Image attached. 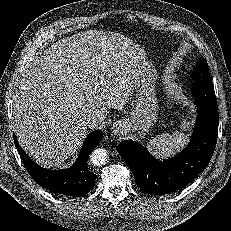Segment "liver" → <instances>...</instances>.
Segmentation results:
<instances>
[{"mask_svg": "<svg viewBox=\"0 0 231 231\" xmlns=\"http://www.w3.org/2000/svg\"><path fill=\"white\" fill-rule=\"evenodd\" d=\"M142 59L132 40L97 30L63 38L36 56L13 96L15 133L25 152L45 167L73 156L88 115L102 122L110 108L124 107Z\"/></svg>", "mask_w": 231, "mask_h": 231, "instance_id": "obj_1", "label": "liver"}]
</instances>
